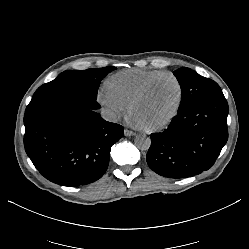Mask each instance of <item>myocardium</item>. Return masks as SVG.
<instances>
[{
	"instance_id": "1",
	"label": "myocardium",
	"mask_w": 249,
	"mask_h": 249,
	"mask_svg": "<svg viewBox=\"0 0 249 249\" xmlns=\"http://www.w3.org/2000/svg\"><path fill=\"white\" fill-rule=\"evenodd\" d=\"M164 77H170V78L174 79L175 82L177 83L178 88H179L178 103H177L174 111L171 113V115L168 118H166L165 120H163L162 122H160L156 125L149 126V127H143V130L146 132H149V133L157 132V131H160V130L167 128L175 120V118L178 116V114L181 110L183 101H184V96H185L184 86H183L180 78L172 72H163L161 74H158V75L152 77L151 79H149L146 83H144L143 86L139 89V91L134 95V97L130 100V102L128 104L129 111L131 112L133 107L135 106V104L145 96V94L149 91V89L152 87V85L156 81H158L159 79L164 78Z\"/></svg>"
}]
</instances>
